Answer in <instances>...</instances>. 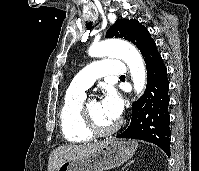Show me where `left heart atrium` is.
Instances as JSON below:
<instances>
[{"instance_id":"39dd6f15","label":"left heart atrium","mask_w":199,"mask_h":171,"mask_svg":"<svg viewBox=\"0 0 199 171\" xmlns=\"http://www.w3.org/2000/svg\"><path fill=\"white\" fill-rule=\"evenodd\" d=\"M101 108L107 118L116 121L122 113L123 101L115 90H108L101 100Z\"/></svg>"}]
</instances>
